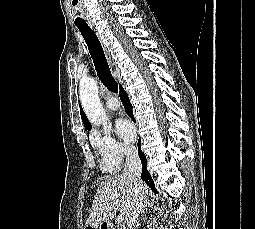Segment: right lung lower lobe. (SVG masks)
<instances>
[{
  "label": "right lung lower lobe",
  "instance_id": "obj_1",
  "mask_svg": "<svg viewBox=\"0 0 255 229\" xmlns=\"http://www.w3.org/2000/svg\"><path fill=\"white\" fill-rule=\"evenodd\" d=\"M120 99L125 107V111L126 113L130 116V118L135 122L134 118H133V115H132V105L130 104L129 102V99H128V96H127V93L124 91V89L122 87H120ZM141 147V140L139 139L138 141V154H139V157L141 159V162H142V174H141V178L147 183V185L155 192L157 193V190L155 189V186H154V183H153V180L147 170V167H146V156L145 154L141 151L140 149Z\"/></svg>",
  "mask_w": 255,
  "mask_h": 229
}]
</instances>
